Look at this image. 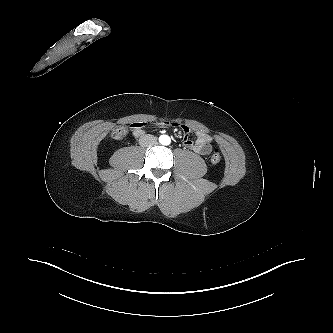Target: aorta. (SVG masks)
<instances>
[{"instance_id":"1","label":"aorta","mask_w":333,"mask_h":333,"mask_svg":"<svg viewBox=\"0 0 333 333\" xmlns=\"http://www.w3.org/2000/svg\"><path fill=\"white\" fill-rule=\"evenodd\" d=\"M160 140H161L162 144H169L170 143V138L166 135L162 136L160 138Z\"/></svg>"}]
</instances>
